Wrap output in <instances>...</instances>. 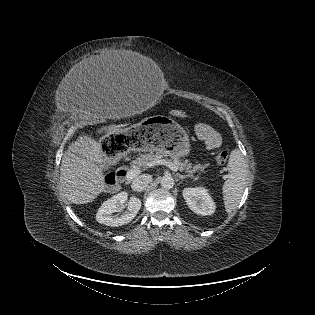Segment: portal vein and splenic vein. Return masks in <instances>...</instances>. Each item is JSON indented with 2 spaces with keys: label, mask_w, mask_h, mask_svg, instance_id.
I'll return each mask as SVG.
<instances>
[{
  "label": "portal vein and splenic vein",
  "mask_w": 315,
  "mask_h": 315,
  "mask_svg": "<svg viewBox=\"0 0 315 315\" xmlns=\"http://www.w3.org/2000/svg\"><path fill=\"white\" fill-rule=\"evenodd\" d=\"M157 164H166L170 167V169L172 171H175L177 172L178 171V167L176 165H174L173 163H170V162H167V161H154L152 163H150L148 166H154V165H157ZM140 173V168L139 167H136L134 169H131L127 172V179H133L135 177H137V175Z\"/></svg>",
  "instance_id": "portal-vein-and-splenic-vein-1"
}]
</instances>
